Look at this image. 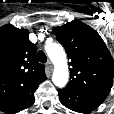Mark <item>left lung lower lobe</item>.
I'll return each mask as SVG.
<instances>
[{"label":"left lung lower lobe","mask_w":114,"mask_h":114,"mask_svg":"<svg viewBox=\"0 0 114 114\" xmlns=\"http://www.w3.org/2000/svg\"><path fill=\"white\" fill-rule=\"evenodd\" d=\"M58 93L59 100L64 106L79 113H89L105 100L102 96L68 88L59 89Z\"/></svg>","instance_id":"0a47b994"}]
</instances>
